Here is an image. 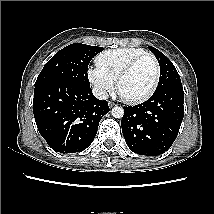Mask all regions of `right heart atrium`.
<instances>
[{
    "instance_id": "1",
    "label": "right heart atrium",
    "mask_w": 214,
    "mask_h": 214,
    "mask_svg": "<svg viewBox=\"0 0 214 214\" xmlns=\"http://www.w3.org/2000/svg\"><path fill=\"white\" fill-rule=\"evenodd\" d=\"M87 76L97 93L102 96L111 92L115 87V80L97 66L89 68Z\"/></svg>"
}]
</instances>
